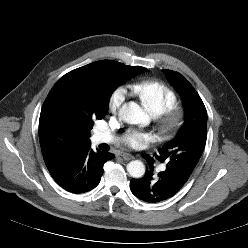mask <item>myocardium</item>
<instances>
[{
	"mask_svg": "<svg viewBox=\"0 0 248 248\" xmlns=\"http://www.w3.org/2000/svg\"><path fill=\"white\" fill-rule=\"evenodd\" d=\"M155 117H157L159 134L164 139L174 137L184 123V112L178 106H174Z\"/></svg>",
	"mask_w": 248,
	"mask_h": 248,
	"instance_id": "1",
	"label": "myocardium"
}]
</instances>
